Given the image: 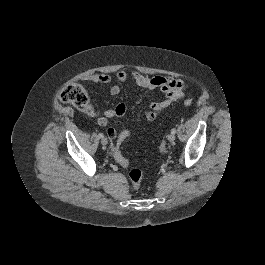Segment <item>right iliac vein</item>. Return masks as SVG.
I'll list each match as a JSON object with an SVG mask.
<instances>
[{"label": "right iliac vein", "mask_w": 265, "mask_h": 265, "mask_svg": "<svg viewBox=\"0 0 265 265\" xmlns=\"http://www.w3.org/2000/svg\"><path fill=\"white\" fill-rule=\"evenodd\" d=\"M107 143H108L107 138L103 137V138L101 139V144H102V145H106Z\"/></svg>", "instance_id": "obj_1"}]
</instances>
